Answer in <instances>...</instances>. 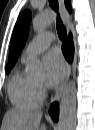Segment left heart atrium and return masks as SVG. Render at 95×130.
<instances>
[{
	"mask_svg": "<svg viewBox=\"0 0 95 130\" xmlns=\"http://www.w3.org/2000/svg\"><path fill=\"white\" fill-rule=\"evenodd\" d=\"M46 69V84L53 87L59 83L63 76L64 62L58 51H52L44 57Z\"/></svg>",
	"mask_w": 95,
	"mask_h": 130,
	"instance_id": "obj_1",
	"label": "left heart atrium"
}]
</instances>
